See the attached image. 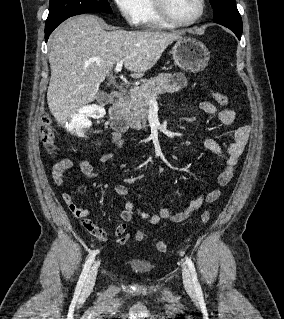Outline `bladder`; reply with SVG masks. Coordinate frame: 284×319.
<instances>
[{"instance_id": "obj_1", "label": "bladder", "mask_w": 284, "mask_h": 319, "mask_svg": "<svg viewBox=\"0 0 284 319\" xmlns=\"http://www.w3.org/2000/svg\"><path fill=\"white\" fill-rule=\"evenodd\" d=\"M129 266L134 272L140 274H147L151 272L154 267L151 262L142 259H131Z\"/></svg>"}]
</instances>
